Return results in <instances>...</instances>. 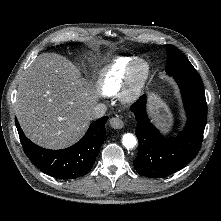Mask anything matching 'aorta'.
Returning <instances> with one entry per match:
<instances>
[{
	"mask_svg": "<svg viewBox=\"0 0 221 221\" xmlns=\"http://www.w3.org/2000/svg\"><path fill=\"white\" fill-rule=\"evenodd\" d=\"M122 144L127 148V149H132L136 146L137 141L136 137L131 134V133H126L122 137Z\"/></svg>",
	"mask_w": 221,
	"mask_h": 221,
	"instance_id": "762f6f07",
	"label": "aorta"
}]
</instances>
